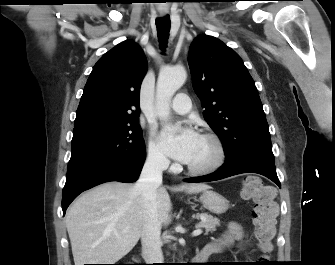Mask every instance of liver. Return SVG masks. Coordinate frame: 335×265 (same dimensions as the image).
I'll return each mask as SVG.
<instances>
[{
  "mask_svg": "<svg viewBox=\"0 0 335 265\" xmlns=\"http://www.w3.org/2000/svg\"><path fill=\"white\" fill-rule=\"evenodd\" d=\"M184 184L175 190L190 194L209 189ZM172 203L165 187L157 189L158 220L171 222ZM66 227L75 265L115 264L141 237L144 224L142 195L133 184L108 182L82 194L67 210Z\"/></svg>",
  "mask_w": 335,
  "mask_h": 265,
  "instance_id": "1",
  "label": "liver"
}]
</instances>
